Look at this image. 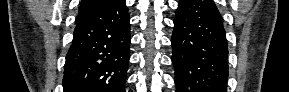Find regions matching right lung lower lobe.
<instances>
[{
	"mask_svg": "<svg viewBox=\"0 0 289 92\" xmlns=\"http://www.w3.org/2000/svg\"><path fill=\"white\" fill-rule=\"evenodd\" d=\"M125 0L81 12L66 55L64 92H124L130 57Z\"/></svg>",
	"mask_w": 289,
	"mask_h": 92,
	"instance_id": "1",
	"label": "right lung lower lobe"
}]
</instances>
